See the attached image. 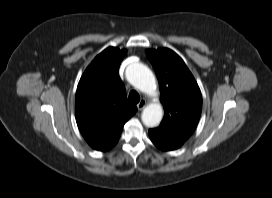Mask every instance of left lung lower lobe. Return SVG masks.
Segmentation results:
<instances>
[{
	"label": "left lung lower lobe",
	"mask_w": 272,
	"mask_h": 198,
	"mask_svg": "<svg viewBox=\"0 0 272 198\" xmlns=\"http://www.w3.org/2000/svg\"><path fill=\"white\" fill-rule=\"evenodd\" d=\"M149 135L154 145L165 151L179 148L190 137L188 134L162 124L157 128L150 129Z\"/></svg>",
	"instance_id": "obj_1"
}]
</instances>
